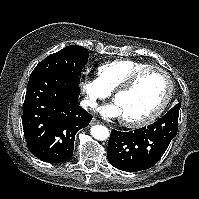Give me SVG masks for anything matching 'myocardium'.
Returning a JSON list of instances; mask_svg holds the SVG:
<instances>
[{"mask_svg": "<svg viewBox=\"0 0 199 199\" xmlns=\"http://www.w3.org/2000/svg\"><path fill=\"white\" fill-rule=\"evenodd\" d=\"M152 71L159 72L166 77L168 83L167 94L163 99V101L161 102V104L154 110V112H152L148 116L138 120H129L122 118L121 121L123 125L127 127L140 128L153 123L156 119H158L162 115V113L165 111V109L167 108L172 99L174 93V81L171 74L167 70L159 66L149 65L133 72L121 85L115 88L112 93L113 100L115 101L119 95L130 91L144 74Z\"/></svg>", "mask_w": 199, "mask_h": 199, "instance_id": "myocardium-1", "label": "myocardium"}]
</instances>
